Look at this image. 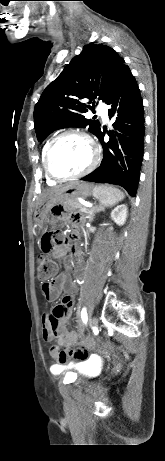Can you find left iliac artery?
I'll list each match as a JSON object with an SVG mask.
<instances>
[{"mask_svg": "<svg viewBox=\"0 0 165 461\" xmlns=\"http://www.w3.org/2000/svg\"><path fill=\"white\" fill-rule=\"evenodd\" d=\"M81 317H82L83 322L86 323V321H87V312H86L85 308L81 312Z\"/></svg>", "mask_w": 165, "mask_h": 461, "instance_id": "44dca946", "label": "left iliac artery"}]
</instances>
